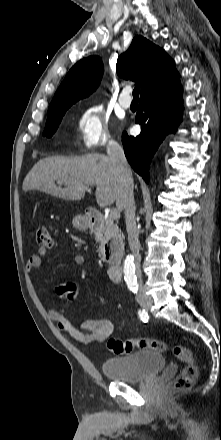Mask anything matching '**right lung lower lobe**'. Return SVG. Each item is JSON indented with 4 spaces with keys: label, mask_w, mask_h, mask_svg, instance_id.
Masks as SVG:
<instances>
[{
    "label": "right lung lower lobe",
    "mask_w": 221,
    "mask_h": 440,
    "mask_svg": "<svg viewBox=\"0 0 221 440\" xmlns=\"http://www.w3.org/2000/svg\"><path fill=\"white\" fill-rule=\"evenodd\" d=\"M182 115V87L178 79L164 89L140 98L136 123L141 124L137 137L122 135L124 152L132 168L149 182V165L159 145L175 132Z\"/></svg>",
    "instance_id": "98d812e1"
}]
</instances>
